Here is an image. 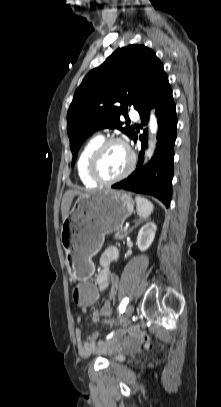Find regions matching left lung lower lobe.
I'll return each instance as SVG.
<instances>
[{
	"label": "left lung lower lobe",
	"mask_w": 221,
	"mask_h": 407,
	"mask_svg": "<svg viewBox=\"0 0 221 407\" xmlns=\"http://www.w3.org/2000/svg\"><path fill=\"white\" fill-rule=\"evenodd\" d=\"M156 108L158 118L157 148L149 166L143 167L144 150L147 147V130L140 135L142 150L136 170L123 181L112 185L115 189H124L136 193L152 195L161 200L167 207L172 197L174 143L176 140V108L168 77L158 84L150 100L138 111L143 125L149 119V109ZM137 140L136 133L132 137Z\"/></svg>",
	"instance_id": "left-lung-lower-lobe-1"
}]
</instances>
